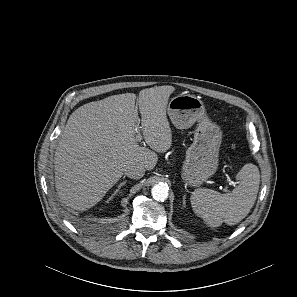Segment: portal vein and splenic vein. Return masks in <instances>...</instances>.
<instances>
[{
    "label": "portal vein and splenic vein",
    "instance_id": "1",
    "mask_svg": "<svg viewBox=\"0 0 297 297\" xmlns=\"http://www.w3.org/2000/svg\"><path fill=\"white\" fill-rule=\"evenodd\" d=\"M136 140L138 141V142H140L141 140H142V135H141V133H140V129H137L136 130ZM232 184H233V186H235V182H231ZM224 190H226V189H224Z\"/></svg>",
    "mask_w": 297,
    "mask_h": 297
}]
</instances>
